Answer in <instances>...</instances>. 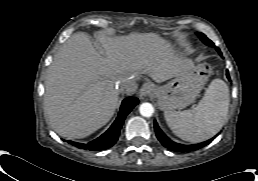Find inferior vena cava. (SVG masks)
Wrapping results in <instances>:
<instances>
[{"mask_svg":"<svg viewBox=\"0 0 258 181\" xmlns=\"http://www.w3.org/2000/svg\"><path fill=\"white\" fill-rule=\"evenodd\" d=\"M137 90V84L134 79H124L119 85V91L123 94H134Z\"/></svg>","mask_w":258,"mask_h":181,"instance_id":"1","label":"inferior vena cava"}]
</instances>
